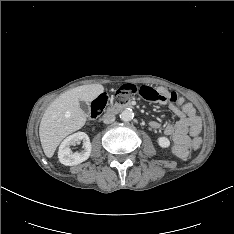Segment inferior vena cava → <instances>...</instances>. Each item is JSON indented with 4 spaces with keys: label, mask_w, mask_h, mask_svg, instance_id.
Segmentation results:
<instances>
[{
    "label": "inferior vena cava",
    "mask_w": 234,
    "mask_h": 234,
    "mask_svg": "<svg viewBox=\"0 0 234 234\" xmlns=\"http://www.w3.org/2000/svg\"><path fill=\"white\" fill-rule=\"evenodd\" d=\"M115 121V115L111 112H107L103 115V122L105 124H110Z\"/></svg>",
    "instance_id": "inferior-vena-cava-1"
}]
</instances>
